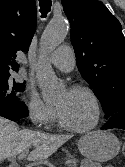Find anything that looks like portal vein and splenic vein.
<instances>
[{"label": "portal vein and splenic vein", "instance_id": "1", "mask_svg": "<svg viewBox=\"0 0 125 167\" xmlns=\"http://www.w3.org/2000/svg\"><path fill=\"white\" fill-rule=\"evenodd\" d=\"M27 154H28V149L21 152V154L18 156V160L23 159ZM70 162H71L70 160H66L65 165H69Z\"/></svg>", "mask_w": 125, "mask_h": 167}]
</instances>
